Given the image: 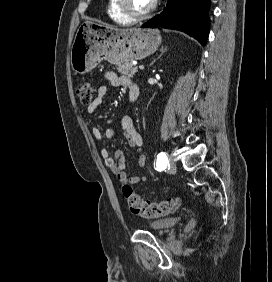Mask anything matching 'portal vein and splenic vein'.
<instances>
[{
    "label": "portal vein and splenic vein",
    "mask_w": 272,
    "mask_h": 282,
    "mask_svg": "<svg viewBox=\"0 0 272 282\" xmlns=\"http://www.w3.org/2000/svg\"><path fill=\"white\" fill-rule=\"evenodd\" d=\"M139 69H140V70H143V69H144V66H143V65H140V66H139Z\"/></svg>",
    "instance_id": "1"
}]
</instances>
